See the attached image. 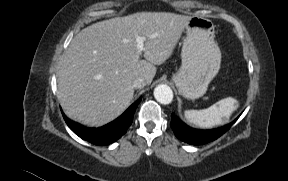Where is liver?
I'll return each instance as SVG.
<instances>
[{
	"label": "liver",
	"mask_w": 288,
	"mask_h": 181,
	"mask_svg": "<svg viewBox=\"0 0 288 181\" xmlns=\"http://www.w3.org/2000/svg\"><path fill=\"white\" fill-rule=\"evenodd\" d=\"M190 17L138 12L100 21L71 41L58 71V99L64 113L87 126L118 117L134 96L133 81L151 84L157 68L173 53ZM137 36L146 37L143 55Z\"/></svg>",
	"instance_id": "obj_1"
}]
</instances>
